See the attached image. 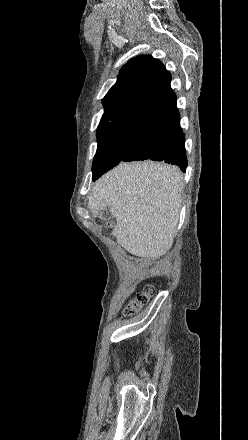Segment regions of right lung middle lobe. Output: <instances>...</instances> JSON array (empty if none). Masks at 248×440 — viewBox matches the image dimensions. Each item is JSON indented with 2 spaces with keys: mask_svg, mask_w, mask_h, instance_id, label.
I'll return each instance as SVG.
<instances>
[{
  "mask_svg": "<svg viewBox=\"0 0 248 440\" xmlns=\"http://www.w3.org/2000/svg\"><path fill=\"white\" fill-rule=\"evenodd\" d=\"M131 131L118 132L98 143L92 167L93 181L121 162Z\"/></svg>",
  "mask_w": 248,
  "mask_h": 440,
  "instance_id": "obj_1",
  "label": "right lung middle lobe"
}]
</instances>
